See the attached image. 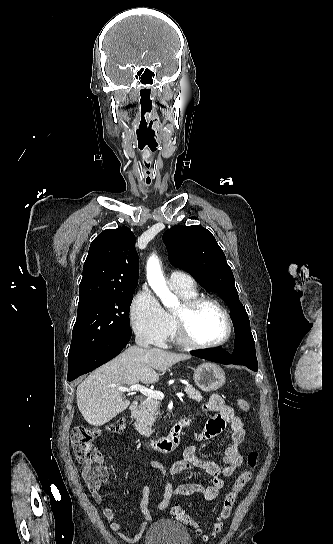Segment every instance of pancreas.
<instances>
[{"mask_svg":"<svg viewBox=\"0 0 333 544\" xmlns=\"http://www.w3.org/2000/svg\"><path fill=\"white\" fill-rule=\"evenodd\" d=\"M184 391L189 398L201 402L203 397L201 393L192 386H186ZM159 406V401L155 398L147 397L139 406L136 413L135 429L144 436H150L153 433L151 427L156 420V414Z\"/></svg>","mask_w":333,"mask_h":544,"instance_id":"obj_1","label":"pancreas"}]
</instances>
